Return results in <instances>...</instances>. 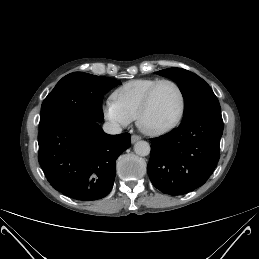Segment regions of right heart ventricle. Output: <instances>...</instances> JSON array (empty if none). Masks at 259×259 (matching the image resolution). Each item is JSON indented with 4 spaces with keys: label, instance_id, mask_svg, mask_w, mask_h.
I'll use <instances>...</instances> for the list:
<instances>
[{
    "label": "right heart ventricle",
    "instance_id": "e07e8e85",
    "mask_svg": "<svg viewBox=\"0 0 259 259\" xmlns=\"http://www.w3.org/2000/svg\"><path fill=\"white\" fill-rule=\"evenodd\" d=\"M158 78H141L128 81L116 89L113 100L130 120L136 119L143 99Z\"/></svg>",
    "mask_w": 259,
    "mask_h": 259
}]
</instances>
